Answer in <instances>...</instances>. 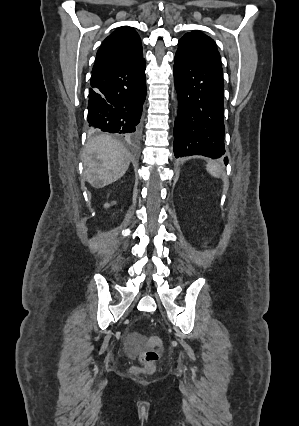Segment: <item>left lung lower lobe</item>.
I'll return each mask as SVG.
<instances>
[{
    "label": "left lung lower lobe",
    "instance_id": "0a47b994",
    "mask_svg": "<svg viewBox=\"0 0 299 426\" xmlns=\"http://www.w3.org/2000/svg\"><path fill=\"white\" fill-rule=\"evenodd\" d=\"M178 117L174 124L175 157L220 158L224 148L223 78L205 60L178 49L174 59ZM225 164L228 158H224Z\"/></svg>",
    "mask_w": 299,
    "mask_h": 426
}]
</instances>
